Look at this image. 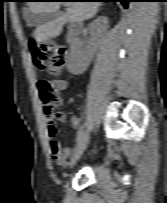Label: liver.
<instances>
[{
  "label": "liver",
  "mask_w": 167,
  "mask_h": 203,
  "mask_svg": "<svg viewBox=\"0 0 167 203\" xmlns=\"http://www.w3.org/2000/svg\"><path fill=\"white\" fill-rule=\"evenodd\" d=\"M67 12L55 20L40 26L33 33L38 42H47L59 36L63 26L68 22H82L92 18L99 10L100 2H67ZM29 11L33 13H50L57 11L60 2H29Z\"/></svg>",
  "instance_id": "6515ba94"
}]
</instances>
